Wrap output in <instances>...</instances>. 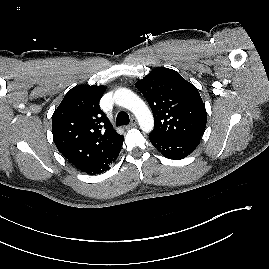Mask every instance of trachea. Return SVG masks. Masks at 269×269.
<instances>
[{
    "label": "trachea",
    "instance_id": "trachea-1",
    "mask_svg": "<svg viewBox=\"0 0 269 269\" xmlns=\"http://www.w3.org/2000/svg\"><path fill=\"white\" fill-rule=\"evenodd\" d=\"M130 122L129 115L126 112H119L116 118V125L122 126L127 125Z\"/></svg>",
    "mask_w": 269,
    "mask_h": 269
}]
</instances>
